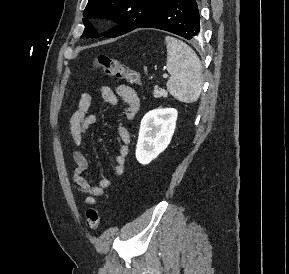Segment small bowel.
Instances as JSON below:
<instances>
[{
    "instance_id": "small-bowel-1",
    "label": "small bowel",
    "mask_w": 289,
    "mask_h": 274,
    "mask_svg": "<svg viewBox=\"0 0 289 274\" xmlns=\"http://www.w3.org/2000/svg\"><path fill=\"white\" fill-rule=\"evenodd\" d=\"M102 99L110 105L118 106L124 104V115L127 121L133 120L140 110V98L136 91L125 84L118 85L115 90L109 86H101L99 89ZM92 95L85 91L81 94L78 108L70 119V133L74 144L82 147L85 143V135L89 128L98 122L94 114H90ZM118 136L121 141L118 153L115 155V164L112 167V174L122 176L125 172V162L129 153L130 133L128 128L122 124L118 128ZM72 159L75 163L73 172L74 188L84 195V203L96 205L97 198L103 196L108 189L113 186V182L108 178L101 179L96 185H92L84 176L89 163L87 157L80 151L72 152Z\"/></svg>"
}]
</instances>
